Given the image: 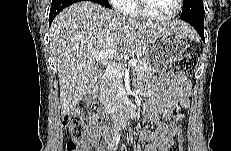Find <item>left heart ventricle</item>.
I'll return each instance as SVG.
<instances>
[{
	"label": "left heart ventricle",
	"instance_id": "left-heart-ventricle-1",
	"mask_svg": "<svg viewBox=\"0 0 231 151\" xmlns=\"http://www.w3.org/2000/svg\"><path fill=\"white\" fill-rule=\"evenodd\" d=\"M145 9L148 14L156 17H164L175 10V0H145Z\"/></svg>",
	"mask_w": 231,
	"mask_h": 151
}]
</instances>
